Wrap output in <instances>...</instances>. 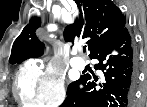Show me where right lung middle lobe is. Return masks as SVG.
<instances>
[{
	"label": "right lung middle lobe",
	"mask_w": 147,
	"mask_h": 107,
	"mask_svg": "<svg viewBox=\"0 0 147 107\" xmlns=\"http://www.w3.org/2000/svg\"><path fill=\"white\" fill-rule=\"evenodd\" d=\"M73 85H74V82H73V83H71V84L69 85V87H68V90H67V91H69V90L73 87Z\"/></svg>",
	"instance_id": "1"
}]
</instances>
